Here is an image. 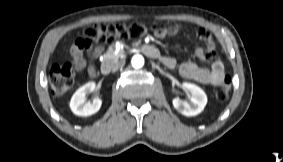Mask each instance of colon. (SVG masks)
I'll use <instances>...</instances> for the list:
<instances>
[{
    "label": "colon",
    "mask_w": 283,
    "mask_h": 162,
    "mask_svg": "<svg viewBox=\"0 0 283 162\" xmlns=\"http://www.w3.org/2000/svg\"><path fill=\"white\" fill-rule=\"evenodd\" d=\"M154 29V28H152ZM155 31L157 29H154ZM148 31L143 24H92L84 30L85 39L88 42H105L115 38L130 39L139 38ZM49 82L52 94L60 96L66 93L74 83V71L70 64H55L49 72ZM231 92V80L225 77L224 80L216 86L215 94L220 100L226 99Z\"/></svg>",
    "instance_id": "5ec220e1"
}]
</instances>
